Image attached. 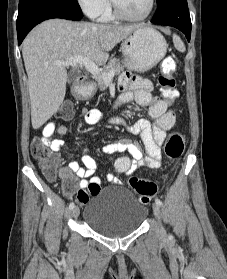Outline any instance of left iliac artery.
Here are the masks:
<instances>
[{
	"instance_id": "1",
	"label": "left iliac artery",
	"mask_w": 227,
	"mask_h": 279,
	"mask_svg": "<svg viewBox=\"0 0 227 279\" xmlns=\"http://www.w3.org/2000/svg\"><path fill=\"white\" fill-rule=\"evenodd\" d=\"M155 202L158 204V205H162V201L158 198L155 199ZM171 237V236H170Z\"/></svg>"
}]
</instances>
